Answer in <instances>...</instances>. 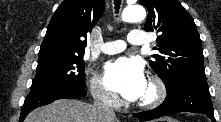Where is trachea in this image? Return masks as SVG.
<instances>
[{"instance_id":"3493384b","label":"trachea","mask_w":221,"mask_h":122,"mask_svg":"<svg viewBox=\"0 0 221 122\" xmlns=\"http://www.w3.org/2000/svg\"><path fill=\"white\" fill-rule=\"evenodd\" d=\"M114 4H115L116 13H117L121 5V0H114Z\"/></svg>"}]
</instances>
